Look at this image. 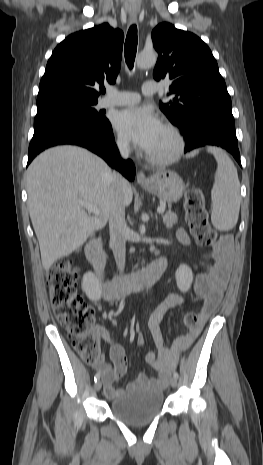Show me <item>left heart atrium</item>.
I'll return each instance as SVG.
<instances>
[{"instance_id":"39dd6f15","label":"left heart atrium","mask_w":263,"mask_h":465,"mask_svg":"<svg viewBox=\"0 0 263 465\" xmlns=\"http://www.w3.org/2000/svg\"><path fill=\"white\" fill-rule=\"evenodd\" d=\"M116 130L146 152L157 142L164 126L148 107H133L119 112L115 118Z\"/></svg>"}]
</instances>
